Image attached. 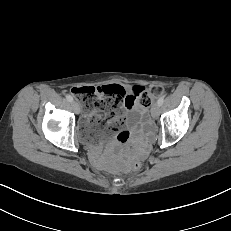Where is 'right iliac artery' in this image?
<instances>
[{
    "instance_id": "1",
    "label": "right iliac artery",
    "mask_w": 231,
    "mask_h": 231,
    "mask_svg": "<svg viewBox=\"0 0 231 231\" xmlns=\"http://www.w3.org/2000/svg\"><path fill=\"white\" fill-rule=\"evenodd\" d=\"M66 99H67V101H69V102H72V101H73V97H72L71 95H67V96H66Z\"/></svg>"
}]
</instances>
